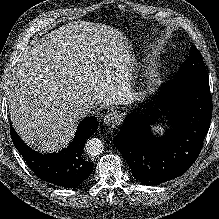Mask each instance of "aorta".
Returning a JSON list of instances; mask_svg holds the SVG:
<instances>
[{"label":"aorta","instance_id":"obj_1","mask_svg":"<svg viewBox=\"0 0 219 219\" xmlns=\"http://www.w3.org/2000/svg\"><path fill=\"white\" fill-rule=\"evenodd\" d=\"M103 149L104 144L98 138H91L85 144V151L91 156L99 155L102 153Z\"/></svg>","mask_w":219,"mask_h":219}]
</instances>
